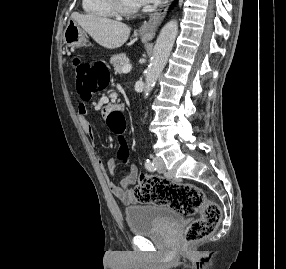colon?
Returning a JSON list of instances; mask_svg holds the SVG:
<instances>
[{"instance_id": "5ec220e1", "label": "colon", "mask_w": 286, "mask_h": 269, "mask_svg": "<svg viewBox=\"0 0 286 269\" xmlns=\"http://www.w3.org/2000/svg\"><path fill=\"white\" fill-rule=\"evenodd\" d=\"M76 84L80 95L84 98L100 90L109 82V76L103 62L74 60ZM115 116H108V126H114L112 134L123 137L127 116L124 111L114 108ZM130 142H117L115 155H120L127 163L132 150H128ZM135 196L139 202L155 203L168 206L182 215L199 217L190 223L184 232V244L189 245L211 235L221 219V209L217 203L207 198L204 191L190 184L177 183L163 177L139 173L136 175Z\"/></svg>"}]
</instances>
